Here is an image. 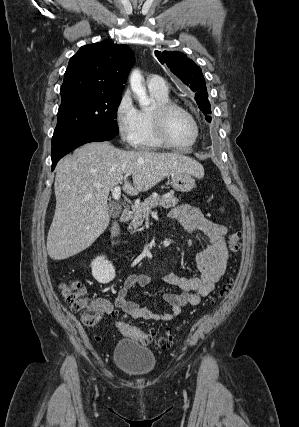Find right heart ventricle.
I'll list each match as a JSON object with an SVG mask.
<instances>
[{
    "label": "right heart ventricle",
    "mask_w": 299,
    "mask_h": 427,
    "mask_svg": "<svg viewBox=\"0 0 299 427\" xmlns=\"http://www.w3.org/2000/svg\"><path fill=\"white\" fill-rule=\"evenodd\" d=\"M151 97L154 100L155 106L158 104L169 102L168 93L162 94L155 91L149 90ZM140 112V134L136 146L140 149L154 150L160 149L163 145L157 139L154 133L151 111L150 110H141Z\"/></svg>",
    "instance_id": "obj_1"
}]
</instances>
